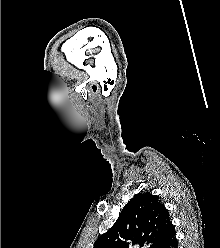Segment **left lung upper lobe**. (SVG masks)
I'll return each instance as SVG.
<instances>
[{
  "instance_id": "1",
  "label": "left lung upper lobe",
  "mask_w": 220,
  "mask_h": 248,
  "mask_svg": "<svg viewBox=\"0 0 220 248\" xmlns=\"http://www.w3.org/2000/svg\"><path fill=\"white\" fill-rule=\"evenodd\" d=\"M171 226L169 213L158 198L148 192L138 193L93 248H129L134 244L158 248Z\"/></svg>"
}]
</instances>
